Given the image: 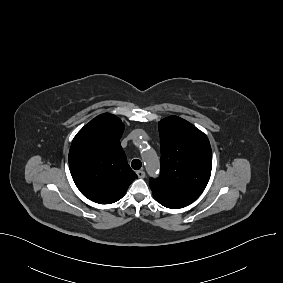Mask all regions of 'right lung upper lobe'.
Returning <instances> with one entry per match:
<instances>
[{
  "label": "right lung upper lobe",
  "instance_id": "obj_1",
  "mask_svg": "<svg viewBox=\"0 0 283 283\" xmlns=\"http://www.w3.org/2000/svg\"><path fill=\"white\" fill-rule=\"evenodd\" d=\"M123 131L118 117L104 113L85 125L72 141L71 175L81 193L93 202L118 201L137 178L120 145Z\"/></svg>",
  "mask_w": 283,
  "mask_h": 283
}]
</instances>
